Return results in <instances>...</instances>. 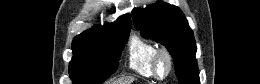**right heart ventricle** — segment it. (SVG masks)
<instances>
[{"instance_id":"obj_1","label":"right heart ventricle","mask_w":260,"mask_h":84,"mask_svg":"<svg viewBox=\"0 0 260 84\" xmlns=\"http://www.w3.org/2000/svg\"><path fill=\"white\" fill-rule=\"evenodd\" d=\"M156 51L153 43L134 36L129 46V67L142 77H154L152 62Z\"/></svg>"}]
</instances>
